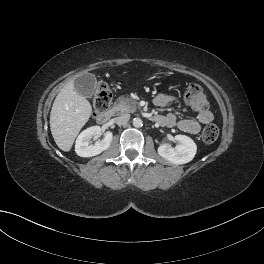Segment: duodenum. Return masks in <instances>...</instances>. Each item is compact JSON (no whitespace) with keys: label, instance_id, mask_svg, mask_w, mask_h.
Instances as JSON below:
<instances>
[{"label":"duodenum","instance_id":"1","mask_svg":"<svg viewBox=\"0 0 264 264\" xmlns=\"http://www.w3.org/2000/svg\"><path fill=\"white\" fill-rule=\"evenodd\" d=\"M112 117H113L112 110L103 111L98 115L97 122L99 124H106L112 119ZM154 119L156 121V117Z\"/></svg>","mask_w":264,"mask_h":264}]
</instances>
